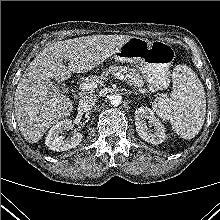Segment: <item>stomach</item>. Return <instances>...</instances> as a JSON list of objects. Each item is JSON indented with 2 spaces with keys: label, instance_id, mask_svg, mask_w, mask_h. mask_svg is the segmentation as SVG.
<instances>
[{
  "label": "stomach",
  "instance_id": "obj_1",
  "mask_svg": "<svg viewBox=\"0 0 220 220\" xmlns=\"http://www.w3.org/2000/svg\"><path fill=\"white\" fill-rule=\"evenodd\" d=\"M113 57L116 61L134 63L153 88L164 89L170 84L169 68L175 58V51L164 41L132 37Z\"/></svg>",
  "mask_w": 220,
  "mask_h": 220
}]
</instances>
